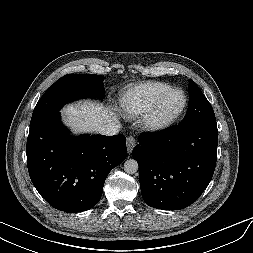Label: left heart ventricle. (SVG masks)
Returning a JSON list of instances; mask_svg holds the SVG:
<instances>
[{"label":"left heart ventricle","instance_id":"1","mask_svg":"<svg viewBox=\"0 0 253 253\" xmlns=\"http://www.w3.org/2000/svg\"><path fill=\"white\" fill-rule=\"evenodd\" d=\"M182 102L183 98L180 93L171 94L161 104L158 112L159 117L165 119L174 115L180 109Z\"/></svg>","mask_w":253,"mask_h":253}]
</instances>
